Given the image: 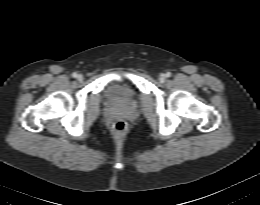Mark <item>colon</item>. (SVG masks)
Instances as JSON below:
<instances>
[{
    "label": "colon",
    "mask_w": 260,
    "mask_h": 205,
    "mask_svg": "<svg viewBox=\"0 0 260 205\" xmlns=\"http://www.w3.org/2000/svg\"><path fill=\"white\" fill-rule=\"evenodd\" d=\"M113 130L116 134L122 135L126 131V124L123 121H117L113 125Z\"/></svg>",
    "instance_id": "colon-1"
}]
</instances>
